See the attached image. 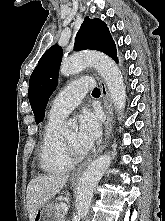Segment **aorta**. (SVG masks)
<instances>
[{"label": "aorta", "instance_id": "aorta-1", "mask_svg": "<svg viewBox=\"0 0 165 221\" xmlns=\"http://www.w3.org/2000/svg\"><path fill=\"white\" fill-rule=\"evenodd\" d=\"M87 66H93L103 77L110 97L118 113H122L126 103V91L121 71L116 63L102 53H84L74 55L64 60L60 67L63 76L79 73ZM73 122H68L65 129L74 128ZM111 163L110 155H104L94 160L83 173L75 198L77 215L85 218L89 212L93 192L103 174Z\"/></svg>", "mask_w": 165, "mask_h": 221}]
</instances>
